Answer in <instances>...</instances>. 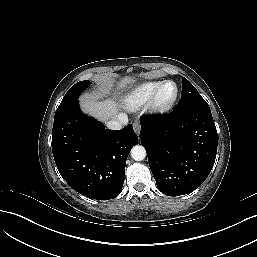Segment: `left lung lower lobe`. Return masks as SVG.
Here are the masks:
<instances>
[{
    "mask_svg": "<svg viewBox=\"0 0 257 257\" xmlns=\"http://www.w3.org/2000/svg\"><path fill=\"white\" fill-rule=\"evenodd\" d=\"M141 144L159 190L188 194L208 177L217 154V130L209 109L175 108L169 114L140 119Z\"/></svg>",
    "mask_w": 257,
    "mask_h": 257,
    "instance_id": "left-lung-lower-lobe-1",
    "label": "left lung lower lobe"
}]
</instances>
